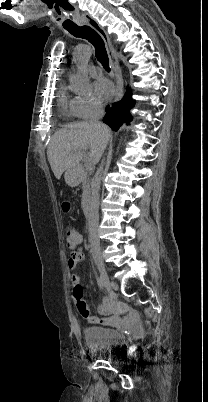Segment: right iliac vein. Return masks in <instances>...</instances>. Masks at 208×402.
<instances>
[{
	"mask_svg": "<svg viewBox=\"0 0 208 402\" xmlns=\"http://www.w3.org/2000/svg\"><path fill=\"white\" fill-rule=\"evenodd\" d=\"M94 261L100 272V277L102 279V282L104 283V286L107 288L108 291L111 292L112 291V282L110 281V279L108 277L106 266H105L103 260L100 257H97L94 259Z\"/></svg>",
	"mask_w": 208,
	"mask_h": 402,
	"instance_id": "right-iliac-vein-1",
	"label": "right iliac vein"
}]
</instances>
